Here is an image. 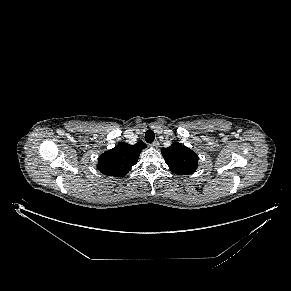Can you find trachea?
I'll return each instance as SVG.
<instances>
[{"label":"trachea","instance_id":"1","mask_svg":"<svg viewBox=\"0 0 291 291\" xmlns=\"http://www.w3.org/2000/svg\"><path fill=\"white\" fill-rule=\"evenodd\" d=\"M155 139V134L152 130H147L146 133H145V141L147 143H152Z\"/></svg>","mask_w":291,"mask_h":291}]
</instances>
